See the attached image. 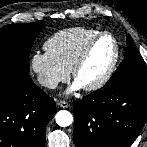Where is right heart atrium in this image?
I'll return each mask as SVG.
<instances>
[{
	"label": "right heart atrium",
	"instance_id": "1",
	"mask_svg": "<svg viewBox=\"0 0 147 147\" xmlns=\"http://www.w3.org/2000/svg\"><path fill=\"white\" fill-rule=\"evenodd\" d=\"M30 67L38 83L48 90L56 89L60 83L66 82L70 75V71L46 51L33 53Z\"/></svg>",
	"mask_w": 147,
	"mask_h": 147
}]
</instances>
